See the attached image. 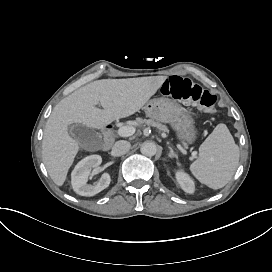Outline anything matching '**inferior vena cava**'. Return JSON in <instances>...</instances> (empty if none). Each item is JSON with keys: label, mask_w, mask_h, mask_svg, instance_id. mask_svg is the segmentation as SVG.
<instances>
[{"label": "inferior vena cava", "mask_w": 272, "mask_h": 272, "mask_svg": "<svg viewBox=\"0 0 272 272\" xmlns=\"http://www.w3.org/2000/svg\"><path fill=\"white\" fill-rule=\"evenodd\" d=\"M129 149H130V143L125 140H120L114 144L111 154L113 156H121L127 153Z\"/></svg>", "instance_id": "obj_1"}]
</instances>
